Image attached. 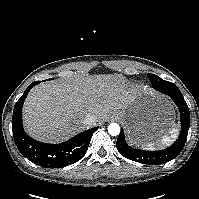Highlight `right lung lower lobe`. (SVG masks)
Here are the masks:
<instances>
[{"mask_svg": "<svg viewBox=\"0 0 199 199\" xmlns=\"http://www.w3.org/2000/svg\"><path fill=\"white\" fill-rule=\"evenodd\" d=\"M36 84L31 83L16 102L12 116V131L15 144L24 157L45 168H61L80 160L86 153L91 137L98 127L83 131L60 144H46L29 137L22 126V106L29 91Z\"/></svg>", "mask_w": 199, "mask_h": 199, "instance_id": "1", "label": "right lung lower lobe"}]
</instances>
